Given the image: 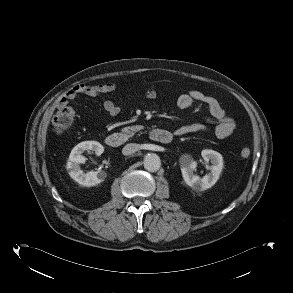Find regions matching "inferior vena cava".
Wrapping results in <instances>:
<instances>
[{
    "label": "inferior vena cava",
    "mask_w": 293,
    "mask_h": 293,
    "mask_svg": "<svg viewBox=\"0 0 293 293\" xmlns=\"http://www.w3.org/2000/svg\"><path fill=\"white\" fill-rule=\"evenodd\" d=\"M138 149H139V146L137 144L129 143L123 147L122 153L123 155H131L135 153L136 151H138Z\"/></svg>",
    "instance_id": "1"
}]
</instances>
